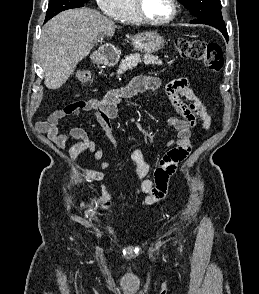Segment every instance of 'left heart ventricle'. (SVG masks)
Returning <instances> with one entry per match:
<instances>
[{
	"instance_id": "left-heart-ventricle-1",
	"label": "left heart ventricle",
	"mask_w": 259,
	"mask_h": 294,
	"mask_svg": "<svg viewBox=\"0 0 259 294\" xmlns=\"http://www.w3.org/2000/svg\"><path fill=\"white\" fill-rule=\"evenodd\" d=\"M145 14L154 20H163L171 13L170 0H143Z\"/></svg>"
}]
</instances>
